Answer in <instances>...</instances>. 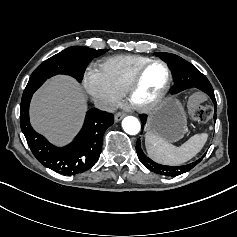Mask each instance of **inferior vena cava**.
Here are the masks:
<instances>
[{
    "label": "inferior vena cava",
    "instance_id": "602c4592",
    "mask_svg": "<svg viewBox=\"0 0 237 237\" xmlns=\"http://www.w3.org/2000/svg\"><path fill=\"white\" fill-rule=\"evenodd\" d=\"M94 105L97 109L106 111L108 113H115V111L119 108L117 103L110 102L104 98L94 99Z\"/></svg>",
    "mask_w": 237,
    "mask_h": 237
}]
</instances>
